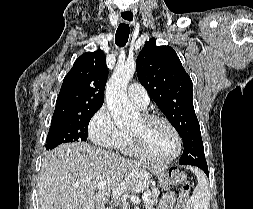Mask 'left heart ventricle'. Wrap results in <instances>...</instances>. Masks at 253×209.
Returning <instances> with one entry per match:
<instances>
[{
  "mask_svg": "<svg viewBox=\"0 0 253 209\" xmlns=\"http://www.w3.org/2000/svg\"><path fill=\"white\" fill-rule=\"evenodd\" d=\"M130 131L141 136L144 149L154 157L167 158L175 151V136L163 122L145 123L140 117Z\"/></svg>",
  "mask_w": 253,
  "mask_h": 209,
  "instance_id": "left-heart-ventricle-1",
  "label": "left heart ventricle"
}]
</instances>
